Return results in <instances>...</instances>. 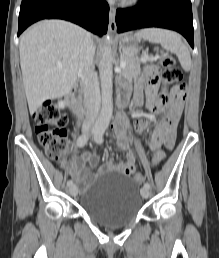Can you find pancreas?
<instances>
[{
    "mask_svg": "<svg viewBox=\"0 0 219 258\" xmlns=\"http://www.w3.org/2000/svg\"><path fill=\"white\" fill-rule=\"evenodd\" d=\"M156 57H149L148 59L141 60L135 57H122L121 61L126 62L125 68H123V76L126 79L137 78L141 73V63L154 62Z\"/></svg>",
    "mask_w": 219,
    "mask_h": 258,
    "instance_id": "cf45deb5",
    "label": "pancreas"
}]
</instances>
